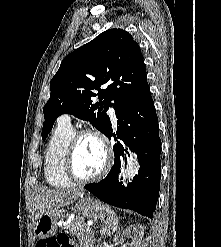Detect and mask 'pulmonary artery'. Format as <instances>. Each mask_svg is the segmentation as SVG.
Returning a JSON list of instances; mask_svg holds the SVG:
<instances>
[{
  "instance_id": "pulmonary-artery-1",
  "label": "pulmonary artery",
  "mask_w": 221,
  "mask_h": 247,
  "mask_svg": "<svg viewBox=\"0 0 221 247\" xmlns=\"http://www.w3.org/2000/svg\"><path fill=\"white\" fill-rule=\"evenodd\" d=\"M109 114L111 115V117L113 118V120H116V112L114 109H110L109 110ZM60 122L62 123H66V124H70V117L67 114L62 115L59 118Z\"/></svg>"
}]
</instances>
